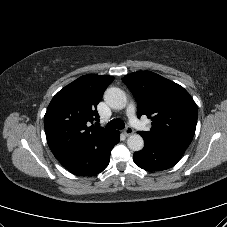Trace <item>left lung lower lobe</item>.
<instances>
[{
    "label": "left lung lower lobe",
    "mask_w": 227,
    "mask_h": 227,
    "mask_svg": "<svg viewBox=\"0 0 227 227\" xmlns=\"http://www.w3.org/2000/svg\"><path fill=\"white\" fill-rule=\"evenodd\" d=\"M143 139L144 148L134 153L133 160L137 166L147 171H162L171 168L181 159L186 150L172 143L146 137Z\"/></svg>",
    "instance_id": "left-lung-lower-lobe-1"
}]
</instances>
